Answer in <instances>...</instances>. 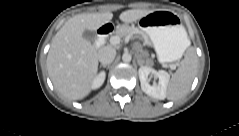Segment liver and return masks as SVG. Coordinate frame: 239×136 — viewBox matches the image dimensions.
<instances>
[{"mask_svg":"<svg viewBox=\"0 0 239 136\" xmlns=\"http://www.w3.org/2000/svg\"><path fill=\"white\" fill-rule=\"evenodd\" d=\"M147 10H127L122 22H136ZM113 18L111 12L83 13L70 18L54 36L47 55V70L56 90L65 98L80 100L92 89L98 71V52L83 38L85 30L95 31Z\"/></svg>","mask_w":239,"mask_h":136,"instance_id":"liver-1","label":"liver"}]
</instances>
